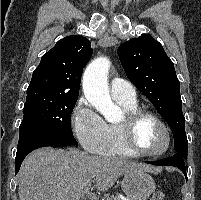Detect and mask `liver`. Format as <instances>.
<instances>
[{
  "label": "liver",
  "instance_id": "1",
  "mask_svg": "<svg viewBox=\"0 0 201 200\" xmlns=\"http://www.w3.org/2000/svg\"><path fill=\"white\" fill-rule=\"evenodd\" d=\"M147 165L114 157L89 155L43 147L30 153L19 172V200H80L94 179L99 191L134 171H150Z\"/></svg>",
  "mask_w": 201,
  "mask_h": 200
}]
</instances>
